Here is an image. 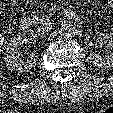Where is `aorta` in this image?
<instances>
[{"label": "aorta", "mask_w": 113, "mask_h": 113, "mask_svg": "<svg viewBox=\"0 0 113 113\" xmlns=\"http://www.w3.org/2000/svg\"><path fill=\"white\" fill-rule=\"evenodd\" d=\"M76 33V26L69 22H64L61 24L59 29V35L63 39H70Z\"/></svg>", "instance_id": "obj_1"}]
</instances>
